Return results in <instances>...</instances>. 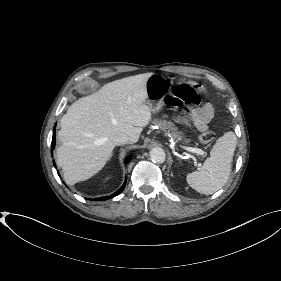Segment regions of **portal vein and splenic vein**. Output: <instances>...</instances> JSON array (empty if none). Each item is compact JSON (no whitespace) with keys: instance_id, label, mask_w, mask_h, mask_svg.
<instances>
[{"instance_id":"18ae733b","label":"portal vein and splenic vein","mask_w":281,"mask_h":281,"mask_svg":"<svg viewBox=\"0 0 281 281\" xmlns=\"http://www.w3.org/2000/svg\"><path fill=\"white\" fill-rule=\"evenodd\" d=\"M186 150L192 153H197L199 155H204V151L199 148L186 147Z\"/></svg>"}]
</instances>
